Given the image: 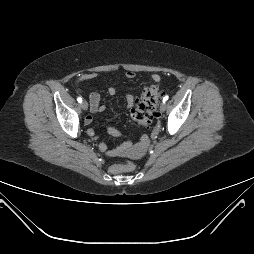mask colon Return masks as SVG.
<instances>
[{"label": "colon", "mask_w": 254, "mask_h": 254, "mask_svg": "<svg viewBox=\"0 0 254 254\" xmlns=\"http://www.w3.org/2000/svg\"><path fill=\"white\" fill-rule=\"evenodd\" d=\"M161 91L157 86L145 88L142 98L132 109V120L140 126H148L154 118L158 116V102L161 97ZM133 163L125 161L112 165L111 170L114 173L128 172L134 170Z\"/></svg>", "instance_id": "5ec220e1"}]
</instances>
